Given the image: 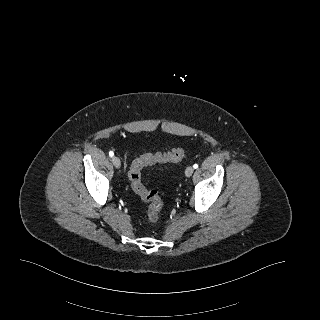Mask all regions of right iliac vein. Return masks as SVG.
Returning <instances> with one entry per match:
<instances>
[{"mask_svg": "<svg viewBox=\"0 0 320 320\" xmlns=\"http://www.w3.org/2000/svg\"><path fill=\"white\" fill-rule=\"evenodd\" d=\"M112 163L114 165L115 168H120L121 166V161L118 157H113L112 158Z\"/></svg>", "mask_w": 320, "mask_h": 320, "instance_id": "right-iliac-vein-1", "label": "right iliac vein"}]
</instances>
